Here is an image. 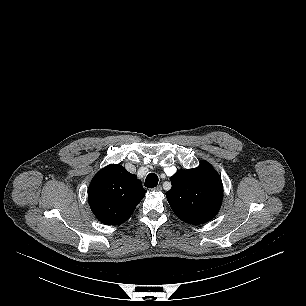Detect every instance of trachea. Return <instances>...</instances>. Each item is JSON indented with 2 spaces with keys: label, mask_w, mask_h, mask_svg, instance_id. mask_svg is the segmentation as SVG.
<instances>
[{
  "label": "trachea",
  "mask_w": 306,
  "mask_h": 306,
  "mask_svg": "<svg viewBox=\"0 0 306 306\" xmlns=\"http://www.w3.org/2000/svg\"><path fill=\"white\" fill-rule=\"evenodd\" d=\"M158 176L154 173H150L145 179V187L153 188L158 185Z\"/></svg>",
  "instance_id": "trachea-1"
}]
</instances>
